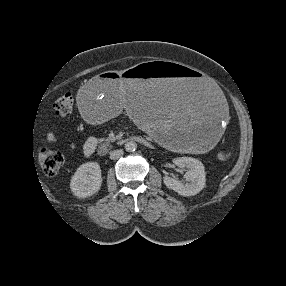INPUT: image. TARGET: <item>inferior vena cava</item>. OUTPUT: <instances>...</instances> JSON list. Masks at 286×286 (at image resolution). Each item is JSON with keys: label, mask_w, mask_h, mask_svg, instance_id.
<instances>
[{"label": "inferior vena cava", "mask_w": 286, "mask_h": 286, "mask_svg": "<svg viewBox=\"0 0 286 286\" xmlns=\"http://www.w3.org/2000/svg\"><path fill=\"white\" fill-rule=\"evenodd\" d=\"M123 155V150H114L110 152V159L117 160Z\"/></svg>", "instance_id": "obj_1"}]
</instances>
